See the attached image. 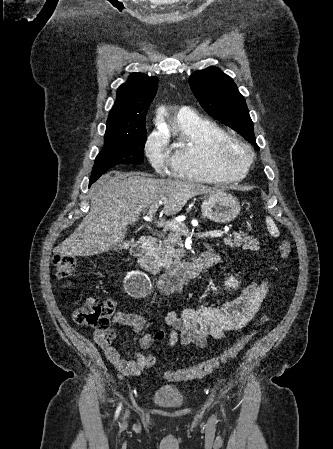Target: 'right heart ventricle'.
<instances>
[{
  "mask_svg": "<svg viewBox=\"0 0 333 449\" xmlns=\"http://www.w3.org/2000/svg\"><path fill=\"white\" fill-rule=\"evenodd\" d=\"M227 132L217 123L195 118L177 121L176 140L173 148V175L177 178L202 182H229L245 177L247 171L226 173L214 163L213 146Z\"/></svg>",
  "mask_w": 333,
  "mask_h": 449,
  "instance_id": "e07e8e85",
  "label": "right heart ventricle"
}]
</instances>
